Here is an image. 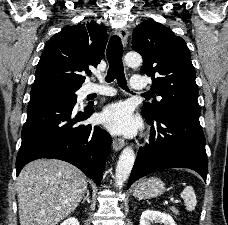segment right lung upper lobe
I'll use <instances>...</instances> for the list:
<instances>
[{"label":"right lung upper lobe","instance_id":"right-lung-upper-lobe-1","mask_svg":"<svg viewBox=\"0 0 228 225\" xmlns=\"http://www.w3.org/2000/svg\"><path fill=\"white\" fill-rule=\"evenodd\" d=\"M107 40L106 30L95 21L65 26L46 42L33 87L63 84L80 88L85 80L80 72L103 59Z\"/></svg>","mask_w":228,"mask_h":225}]
</instances>
